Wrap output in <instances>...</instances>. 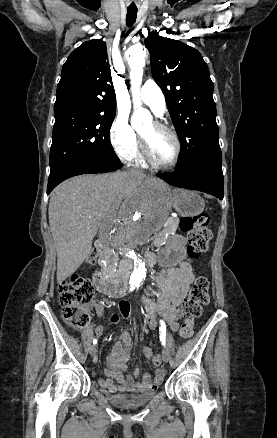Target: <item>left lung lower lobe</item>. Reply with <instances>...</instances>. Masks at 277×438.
I'll use <instances>...</instances> for the list:
<instances>
[{
  "label": "left lung lower lobe",
  "mask_w": 277,
  "mask_h": 438,
  "mask_svg": "<svg viewBox=\"0 0 277 438\" xmlns=\"http://www.w3.org/2000/svg\"><path fill=\"white\" fill-rule=\"evenodd\" d=\"M157 175L171 185L203 191L223 199L222 159L212 160L189 171L159 173Z\"/></svg>",
  "instance_id": "1"
}]
</instances>
